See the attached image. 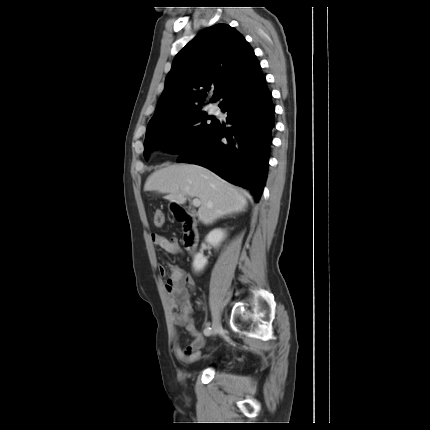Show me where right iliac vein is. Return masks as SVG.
<instances>
[{"label": "right iliac vein", "mask_w": 430, "mask_h": 430, "mask_svg": "<svg viewBox=\"0 0 430 430\" xmlns=\"http://www.w3.org/2000/svg\"><path fill=\"white\" fill-rule=\"evenodd\" d=\"M222 329L220 317L217 314H213V322H212V334H217Z\"/></svg>", "instance_id": "right-iliac-vein-1"}]
</instances>
